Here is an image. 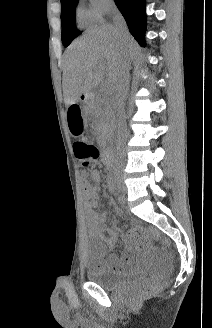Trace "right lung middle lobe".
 I'll use <instances>...</instances> for the list:
<instances>
[{
  "label": "right lung middle lobe",
  "instance_id": "right-lung-middle-lobe-1",
  "mask_svg": "<svg viewBox=\"0 0 212 328\" xmlns=\"http://www.w3.org/2000/svg\"><path fill=\"white\" fill-rule=\"evenodd\" d=\"M79 0H61V22H62V43L67 47L77 36L81 34L76 29L75 6Z\"/></svg>",
  "mask_w": 212,
  "mask_h": 328
}]
</instances>
